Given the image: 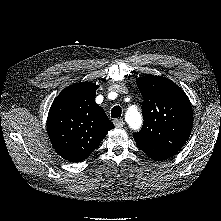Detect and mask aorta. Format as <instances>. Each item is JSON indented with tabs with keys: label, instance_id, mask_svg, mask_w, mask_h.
Returning <instances> with one entry per match:
<instances>
[{
	"label": "aorta",
	"instance_id": "aorta-1",
	"mask_svg": "<svg viewBox=\"0 0 221 221\" xmlns=\"http://www.w3.org/2000/svg\"><path fill=\"white\" fill-rule=\"evenodd\" d=\"M126 121L129 126L134 130L139 129V127L141 126L142 117L135 106H131L128 108L126 113Z\"/></svg>",
	"mask_w": 221,
	"mask_h": 221
}]
</instances>
